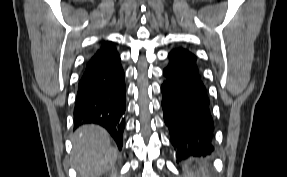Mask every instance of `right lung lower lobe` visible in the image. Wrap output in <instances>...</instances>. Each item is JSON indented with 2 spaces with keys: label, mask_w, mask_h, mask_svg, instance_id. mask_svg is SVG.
<instances>
[{
  "label": "right lung lower lobe",
  "mask_w": 287,
  "mask_h": 177,
  "mask_svg": "<svg viewBox=\"0 0 287 177\" xmlns=\"http://www.w3.org/2000/svg\"><path fill=\"white\" fill-rule=\"evenodd\" d=\"M125 93L120 56L112 42L103 41L87 60L79 79L74 107L75 128L87 123L101 125L121 149Z\"/></svg>",
  "instance_id": "1"
}]
</instances>
